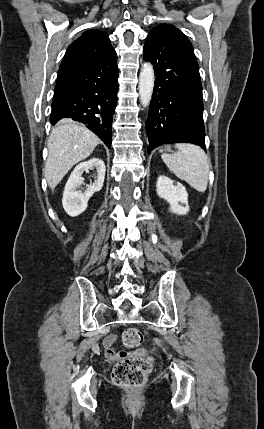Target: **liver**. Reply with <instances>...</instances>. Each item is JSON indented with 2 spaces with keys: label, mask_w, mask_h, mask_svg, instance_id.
Segmentation results:
<instances>
[{
  "label": "liver",
  "mask_w": 264,
  "mask_h": 429,
  "mask_svg": "<svg viewBox=\"0 0 264 429\" xmlns=\"http://www.w3.org/2000/svg\"><path fill=\"white\" fill-rule=\"evenodd\" d=\"M100 139L84 125L69 119L52 129L48 140V157L44 176L51 190L78 162L88 158Z\"/></svg>",
  "instance_id": "6515ba94"
}]
</instances>
